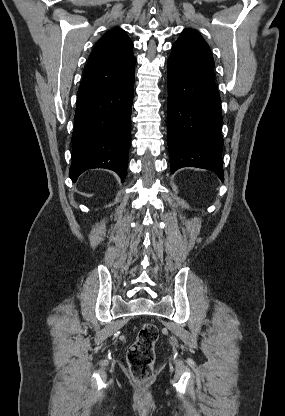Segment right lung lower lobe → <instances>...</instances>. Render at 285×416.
Listing matches in <instances>:
<instances>
[{"mask_svg": "<svg viewBox=\"0 0 285 416\" xmlns=\"http://www.w3.org/2000/svg\"><path fill=\"white\" fill-rule=\"evenodd\" d=\"M135 71L111 87L77 98L69 176L107 168L124 181L130 144Z\"/></svg>", "mask_w": 285, "mask_h": 416, "instance_id": "98d812e1", "label": "right lung lower lobe"}]
</instances>
